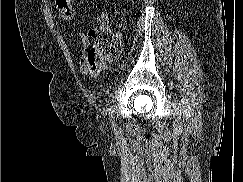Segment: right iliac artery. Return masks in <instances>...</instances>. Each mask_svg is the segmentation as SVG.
<instances>
[{
  "label": "right iliac artery",
  "instance_id": "obj_1",
  "mask_svg": "<svg viewBox=\"0 0 243 182\" xmlns=\"http://www.w3.org/2000/svg\"><path fill=\"white\" fill-rule=\"evenodd\" d=\"M109 116H110V122H111V124H112V128H113L114 130H116V129H117V125H116V123H115V121H114L113 111L111 110V108L109 109Z\"/></svg>",
  "mask_w": 243,
  "mask_h": 182
}]
</instances>
